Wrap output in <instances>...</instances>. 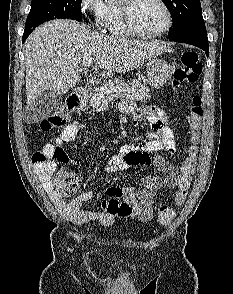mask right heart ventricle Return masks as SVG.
Wrapping results in <instances>:
<instances>
[{
	"instance_id": "right-heart-ventricle-1",
	"label": "right heart ventricle",
	"mask_w": 233,
	"mask_h": 294,
	"mask_svg": "<svg viewBox=\"0 0 233 294\" xmlns=\"http://www.w3.org/2000/svg\"><path fill=\"white\" fill-rule=\"evenodd\" d=\"M103 27L112 35L129 36L125 28L121 6L110 5L104 19Z\"/></svg>"
}]
</instances>
